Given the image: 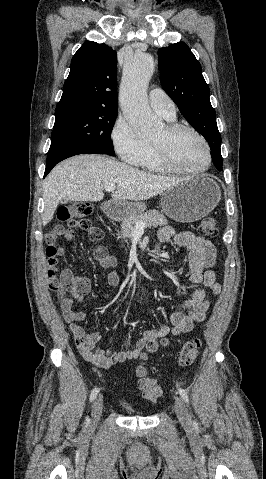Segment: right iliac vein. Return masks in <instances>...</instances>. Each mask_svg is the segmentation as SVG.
Returning <instances> with one entry per match:
<instances>
[{
    "instance_id": "right-iliac-vein-1",
    "label": "right iliac vein",
    "mask_w": 266,
    "mask_h": 479,
    "mask_svg": "<svg viewBox=\"0 0 266 479\" xmlns=\"http://www.w3.org/2000/svg\"><path fill=\"white\" fill-rule=\"evenodd\" d=\"M102 409H103V399L102 397H98L96 398L92 406L91 421L89 426L90 430H93L96 428L102 414Z\"/></svg>"
}]
</instances>
